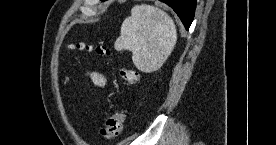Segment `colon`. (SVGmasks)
<instances>
[{
    "label": "colon",
    "mask_w": 276,
    "mask_h": 145,
    "mask_svg": "<svg viewBox=\"0 0 276 145\" xmlns=\"http://www.w3.org/2000/svg\"><path fill=\"white\" fill-rule=\"evenodd\" d=\"M76 48L79 50L94 52L100 58L109 57L111 55V51L102 45L92 46V45L80 43L77 45ZM119 72L122 80L128 85H134L139 80L138 72L132 68L121 67ZM124 121H125L124 111L123 110L115 111L106 119L104 126L100 129L101 137L106 140H113L117 138L123 129Z\"/></svg>",
    "instance_id": "5ec220e1"
}]
</instances>
